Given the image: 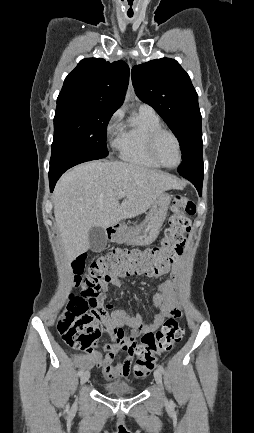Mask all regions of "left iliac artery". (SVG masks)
Returning <instances> with one entry per match:
<instances>
[{"mask_svg": "<svg viewBox=\"0 0 254 433\" xmlns=\"http://www.w3.org/2000/svg\"><path fill=\"white\" fill-rule=\"evenodd\" d=\"M158 369H159L162 373L165 372L164 367H163L162 365H159V366H158ZM171 404H173L172 401H171Z\"/></svg>", "mask_w": 254, "mask_h": 433, "instance_id": "left-iliac-artery-1", "label": "left iliac artery"}]
</instances>
